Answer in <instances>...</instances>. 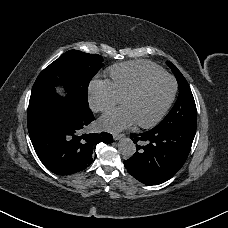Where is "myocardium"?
<instances>
[{
	"mask_svg": "<svg viewBox=\"0 0 228 228\" xmlns=\"http://www.w3.org/2000/svg\"><path fill=\"white\" fill-rule=\"evenodd\" d=\"M168 79L171 82V90H170V94L166 100V102L164 103V105L162 106L161 110L159 111V113L149 122L147 123H141L138 122V126H140L141 128L144 129H149L152 128L154 126H156L164 117V115L166 114L167 110L169 109L170 105L173 102L174 96H175V92H176V82L175 80L168 74H157L154 75L152 77H148L146 79H144L139 86H137L133 91H131L124 99V103H126L128 100L135 98L136 96H138L150 83L159 80V79Z\"/></svg>",
	"mask_w": 228,
	"mask_h": 228,
	"instance_id": "obj_1",
	"label": "myocardium"
}]
</instances>
